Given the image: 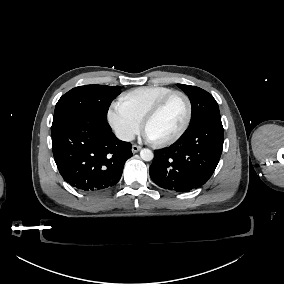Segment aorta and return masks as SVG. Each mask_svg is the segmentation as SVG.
<instances>
[{
  "label": "aorta",
  "mask_w": 284,
  "mask_h": 284,
  "mask_svg": "<svg viewBox=\"0 0 284 284\" xmlns=\"http://www.w3.org/2000/svg\"><path fill=\"white\" fill-rule=\"evenodd\" d=\"M140 156L144 161H151L154 157V154L150 149L144 148L140 151Z\"/></svg>",
  "instance_id": "1"
}]
</instances>
